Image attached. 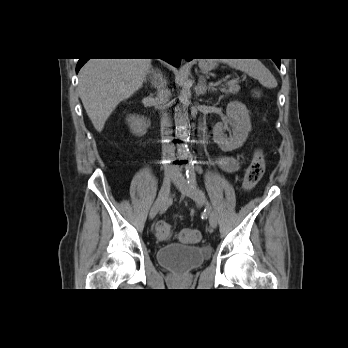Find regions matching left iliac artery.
Returning a JSON list of instances; mask_svg holds the SVG:
<instances>
[{"label":"left iliac artery","mask_w":348,"mask_h":348,"mask_svg":"<svg viewBox=\"0 0 348 348\" xmlns=\"http://www.w3.org/2000/svg\"><path fill=\"white\" fill-rule=\"evenodd\" d=\"M186 177L188 180V183L192 186L197 187V180H196V174L192 168H188L186 171Z\"/></svg>","instance_id":"left-iliac-artery-1"}]
</instances>
